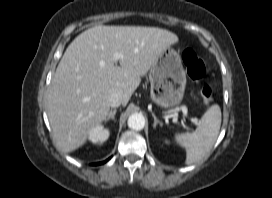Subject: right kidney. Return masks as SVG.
<instances>
[{"label": "right kidney", "mask_w": 272, "mask_h": 198, "mask_svg": "<svg viewBox=\"0 0 272 198\" xmlns=\"http://www.w3.org/2000/svg\"><path fill=\"white\" fill-rule=\"evenodd\" d=\"M110 135V131L102 125L95 126L89 133V140L95 144H102Z\"/></svg>", "instance_id": "1"}]
</instances>
